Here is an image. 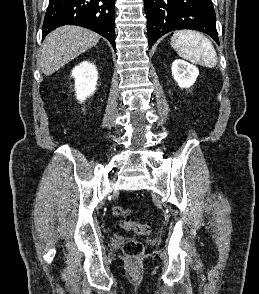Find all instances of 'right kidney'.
Returning a JSON list of instances; mask_svg holds the SVG:
<instances>
[{
  "instance_id": "right-kidney-1",
  "label": "right kidney",
  "mask_w": 259,
  "mask_h": 294,
  "mask_svg": "<svg viewBox=\"0 0 259 294\" xmlns=\"http://www.w3.org/2000/svg\"><path fill=\"white\" fill-rule=\"evenodd\" d=\"M77 99L83 102L96 90L98 71L93 63L83 61L72 70Z\"/></svg>"
}]
</instances>
